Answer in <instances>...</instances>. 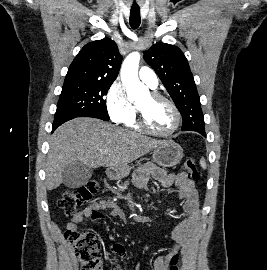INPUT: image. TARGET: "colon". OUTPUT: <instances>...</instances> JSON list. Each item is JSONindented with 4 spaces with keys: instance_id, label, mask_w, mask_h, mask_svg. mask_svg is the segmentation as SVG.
I'll list each match as a JSON object with an SVG mask.
<instances>
[{
    "instance_id": "obj_1",
    "label": "colon",
    "mask_w": 267,
    "mask_h": 270,
    "mask_svg": "<svg viewBox=\"0 0 267 270\" xmlns=\"http://www.w3.org/2000/svg\"><path fill=\"white\" fill-rule=\"evenodd\" d=\"M184 171L190 180H199L200 174L193 157L185 159ZM97 191L98 185L95 182H88L80 187L66 190L59 199V207L66 215L74 216L79 207L89 201ZM64 235L73 249L80 270H103L100 241L92 231L70 228L67 225ZM170 265V270H179V256L177 254L171 258Z\"/></svg>"
}]
</instances>
